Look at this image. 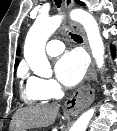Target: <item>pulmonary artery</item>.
Here are the masks:
<instances>
[{
  "label": "pulmonary artery",
  "mask_w": 117,
  "mask_h": 131,
  "mask_svg": "<svg viewBox=\"0 0 117 131\" xmlns=\"http://www.w3.org/2000/svg\"><path fill=\"white\" fill-rule=\"evenodd\" d=\"M65 49V46L60 40H50L46 45V52L50 56H57L61 54Z\"/></svg>",
  "instance_id": "1"
}]
</instances>
